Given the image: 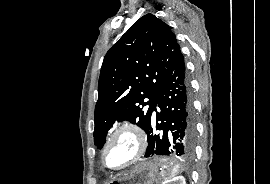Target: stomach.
Returning a JSON list of instances; mask_svg holds the SVG:
<instances>
[{
  "instance_id": "stomach-1",
  "label": "stomach",
  "mask_w": 270,
  "mask_h": 184,
  "mask_svg": "<svg viewBox=\"0 0 270 184\" xmlns=\"http://www.w3.org/2000/svg\"><path fill=\"white\" fill-rule=\"evenodd\" d=\"M177 166L179 165L167 159L164 167L158 162L143 161L112 180L110 184H154L155 181L163 180L162 171L169 173Z\"/></svg>"
}]
</instances>
